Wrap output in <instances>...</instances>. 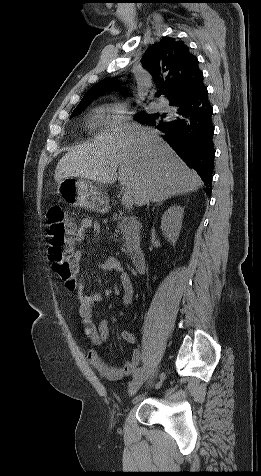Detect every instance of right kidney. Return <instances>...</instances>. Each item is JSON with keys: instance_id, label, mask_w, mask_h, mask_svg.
I'll return each instance as SVG.
<instances>
[{"instance_id": "1", "label": "right kidney", "mask_w": 261, "mask_h": 476, "mask_svg": "<svg viewBox=\"0 0 261 476\" xmlns=\"http://www.w3.org/2000/svg\"><path fill=\"white\" fill-rule=\"evenodd\" d=\"M184 208L173 205L166 210L161 219V230L165 237L172 243H175L179 237L182 226Z\"/></svg>"}]
</instances>
